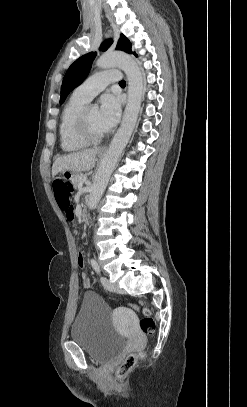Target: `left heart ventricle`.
I'll list each match as a JSON object with an SVG mask.
<instances>
[{
	"mask_svg": "<svg viewBox=\"0 0 247 407\" xmlns=\"http://www.w3.org/2000/svg\"><path fill=\"white\" fill-rule=\"evenodd\" d=\"M87 120L91 130L94 133H103L107 131L99 119V110L95 107H89L87 110Z\"/></svg>",
	"mask_w": 247,
	"mask_h": 407,
	"instance_id": "left-heart-ventricle-1",
	"label": "left heart ventricle"
}]
</instances>
